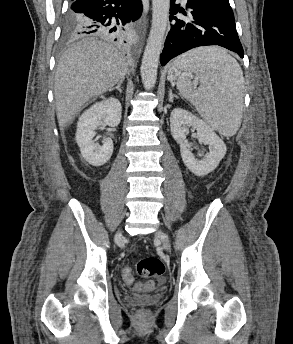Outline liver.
<instances>
[{
    "label": "liver",
    "mask_w": 293,
    "mask_h": 344,
    "mask_svg": "<svg viewBox=\"0 0 293 344\" xmlns=\"http://www.w3.org/2000/svg\"><path fill=\"white\" fill-rule=\"evenodd\" d=\"M127 72L126 57L106 42L85 40L66 50L54 83L60 129L67 127L91 98L123 81Z\"/></svg>",
    "instance_id": "1"
}]
</instances>
